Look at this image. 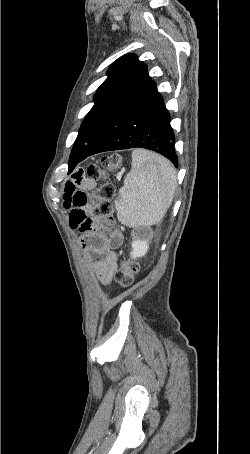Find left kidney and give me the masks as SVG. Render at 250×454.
I'll return each mask as SVG.
<instances>
[{
  "label": "left kidney",
  "mask_w": 250,
  "mask_h": 454,
  "mask_svg": "<svg viewBox=\"0 0 250 454\" xmlns=\"http://www.w3.org/2000/svg\"><path fill=\"white\" fill-rule=\"evenodd\" d=\"M132 251L130 253L133 259L142 257L146 254L149 248L148 240L142 239L140 237H135L131 243Z\"/></svg>",
  "instance_id": "1"
}]
</instances>
